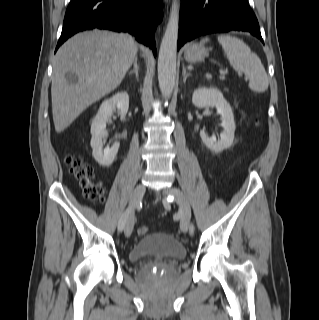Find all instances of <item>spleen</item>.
Returning <instances> with one entry per match:
<instances>
[{
  "label": "spleen",
  "mask_w": 319,
  "mask_h": 320,
  "mask_svg": "<svg viewBox=\"0 0 319 320\" xmlns=\"http://www.w3.org/2000/svg\"><path fill=\"white\" fill-rule=\"evenodd\" d=\"M217 39L230 65L239 73H244L249 79V88L256 93L266 91L269 79L258 55L237 37L221 34ZM207 41H209L207 37L202 40V42Z\"/></svg>",
  "instance_id": "3e777b00"
}]
</instances>
